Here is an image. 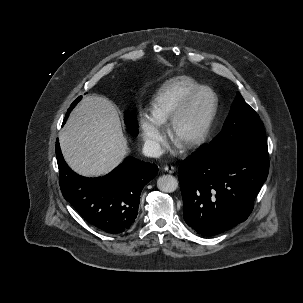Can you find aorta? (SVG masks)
Segmentation results:
<instances>
[{"label": "aorta", "mask_w": 303, "mask_h": 303, "mask_svg": "<svg viewBox=\"0 0 303 303\" xmlns=\"http://www.w3.org/2000/svg\"><path fill=\"white\" fill-rule=\"evenodd\" d=\"M157 187L162 192L171 193L177 189L178 181L172 175H163L158 178Z\"/></svg>", "instance_id": "1"}]
</instances>
